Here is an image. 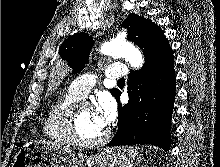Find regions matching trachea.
<instances>
[{
  "instance_id": "trachea-1",
  "label": "trachea",
  "mask_w": 220,
  "mask_h": 167,
  "mask_svg": "<svg viewBox=\"0 0 220 167\" xmlns=\"http://www.w3.org/2000/svg\"><path fill=\"white\" fill-rule=\"evenodd\" d=\"M118 82H119V83H125V79H124V78H121V79L118 80Z\"/></svg>"
}]
</instances>
